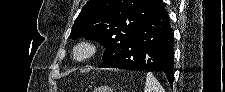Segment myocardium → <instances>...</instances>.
<instances>
[{"label": "myocardium", "instance_id": "1", "mask_svg": "<svg viewBox=\"0 0 225 92\" xmlns=\"http://www.w3.org/2000/svg\"><path fill=\"white\" fill-rule=\"evenodd\" d=\"M96 51V45L92 41L81 40L73 47V59L79 63L86 62L95 55Z\"/></svg>", "mask_w": 225, "mask_h": 92}]
</instances>
